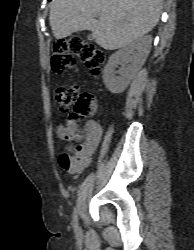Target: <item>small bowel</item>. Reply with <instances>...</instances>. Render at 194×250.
Here are the masks:
<instances>
[{
	"mask_svg": "<svg viewBox=\"0 0 194 250\" xmlns=\"http://www.w3.org/2000/svg\"><path fill=\"white\" fill-rule=\"evenodd\" d=\"M57 134L62 140H73L77 137L78 126L75 122L65 120L57 129ZM102 137V128L96 121H89L86 125V138L80 147L77 156L72 160L71 165L62 168L70 175H77L90 164L91 156L96 150Z\"/></svg>",
	"mask_w": 194,
	"mask_h": 250,
	"instance_id": "obj_1",
	"label": "small bowel"
}]
</instances>
